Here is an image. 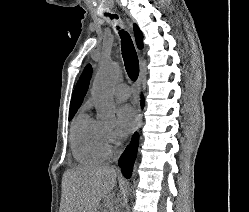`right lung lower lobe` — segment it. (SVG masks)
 <instances>
[{
  "label": "right lung lower lobe",
  "instance_id": "1",
  "mask_svg": "<svg viewBox=\"0 0 249 212\" xmlns=\"http://www.w3.org/2000/svg\"><path fill=\"white\" fill-rule=\"evenodd\" d=\"M137 149H138V134L135 133L132 137L130 144L126 147L124 153L122 154L118 162L119 166L121 167V171L126 178L131 177L133 164L137 154Z\"/></svg>",
  "mask_w": 249,
  "mask_h": 212
}]
</instances>
